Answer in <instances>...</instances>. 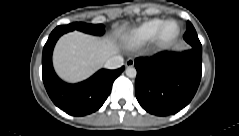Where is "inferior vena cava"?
Returning a JSON list of instances; mask_svg holds the SVG:
<instances>
[{
  "instance_id": "602c4592",
  "label": "inferior vena cava",
  "mask_w": 239,
  "mask_h": 136,
  "mask_svg": "<svg viewBox=\"0 0 239 136\" xmlns=\"http://www.w3.org/2000/svg\"><path fill=\"white\" fill-rule=\"evenodd\" d=\"M123 65V58L120 55H115L107 59L104 63V67L107 69H117Z\"/></svg>"
}]
</instances>
